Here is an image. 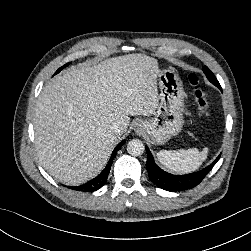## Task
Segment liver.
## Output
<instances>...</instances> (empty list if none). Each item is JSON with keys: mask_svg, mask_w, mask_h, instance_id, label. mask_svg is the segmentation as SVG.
<instances>
[{"mask_svg": "<svg viewBox=\"0 0 251 251\" xmlns=\"http://www.w3.org/2000/svg\"><path fill=\"white\" fill-rule=\"evenodd\" d=\"M158 61L144 54L71 67L42 90L34 116L35 145L45 170L67 185L94 178L106 165L129 116H150L159 105Z\"/></svg>", "mask_w": 251, "mask_h": 251, "instance_id": "liver-1", "label": "liver"}]
</instances>
